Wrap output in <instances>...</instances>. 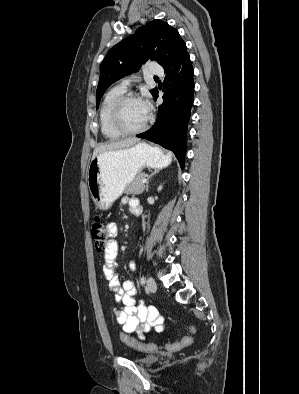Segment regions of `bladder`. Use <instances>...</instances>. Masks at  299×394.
I'll return each instance as SVG.
<instances>
[{
    "instance_id": "1",
    "label": "bladder",
    "mask_w": 299,
    "mask_h": 394,
    "mask_svg": "<svg viewBox=\"0 0 299 394\" xmlns=\"http://www.w3.org/2000/svg\"><path fill=\"white\" fill-rule=\"evenodd\" d=\"M158 361V357L155 355H150V354H146V355H140L136 358V362L140 365H152L154 363H156Z\"/></svg>"
}]
</instances>
